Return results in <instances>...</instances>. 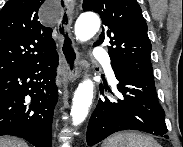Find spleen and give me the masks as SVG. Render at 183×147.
<instances>
[{
	"instance_id": "3e777b00",
	"label": "spleen",
	"mask_w": 183,
	"mask_h": 147,
	"mask_svg": "<svg viewBox=\"0 0 183 147\" xmlns=\"http://www.w3.org/2000/svg\"><path fill=\"white\" fill-rule=\"evenodd\" d=\"M102 147H161L151 136L137 132H119L106 139Z\"/></svg>"
}]
</instances>
